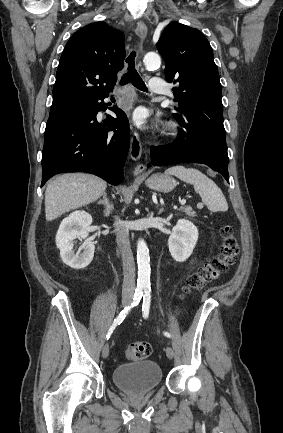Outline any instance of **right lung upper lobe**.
Wrapping results in <instances>:
<instances>
[{
    "instance_id": "right-lung-upper-lobe-1",
    "label": "right lung upper lobe",
    "mask_w": 283,
    "mask_h": 433,
    "mask_svg": "<svg viewBox=\"0 0 283 433\" xmlns=\"http://www.w3.org/2000/svg\"><path fill=\"white\" fill-rule=\"evenodd\" d=\"M125 55L123 32L105 22L91 23L75 32L60 58L51 110L111 92Z\"/></svg>"
}]
</instances>
